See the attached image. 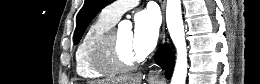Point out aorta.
<instances>
[{"instance_id":"aorta-1","label":"aorta","mask_w":260,"mask_h":84,"mask_svg":"<svg viewBox=\"0 0 260 84\" xmlns=\"http://www.w3.org/2000/svg\"><path fill=\"white\" fill-rule=\"evenodd\" d=\"M166 22L170 37L177 51V58L171 84H185L188 62L187 46L182 20L181 0H167Z\"/></svg>"}]
</instances>
